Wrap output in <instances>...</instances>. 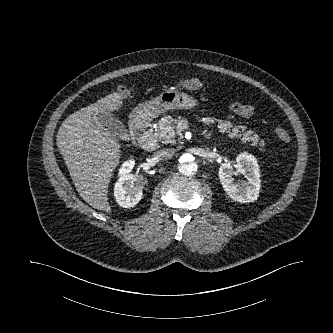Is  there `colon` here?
<instances>
[{
  "instance_id": "colon-1",
  "label": "colon",
  "mask_w": 333,
  "mask_h": 333,
  "mask_svg": "<svg viewBox=\"0 0 333 333\" xmlns=\"http://www.w3.org/2000/svg\"><path fill=\"white\" fill-rule=\"evenodd\" d=\"M179 87L184 90L195 91L201 89L203 83L197 78H185L180 82ZM118 93L121 97L127 98L131 95V90L128 87H121ZM275 135L283 143H289L291 140L290 134L283 128H276Z\"/></svg>"
}]
</instances>
